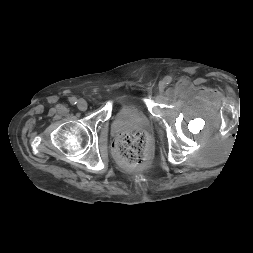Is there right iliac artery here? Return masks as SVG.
<instances>
[{"instance_id": "1", "label": "right iliac artery", "mask_w": 253, "mask_h": 253, "mask_svg": "<svg viewBox=\"0 0 253 253\" xmlns=\"http://www.w3.org/2000/svg\"><path fill=\"white\" fill-rule=\"evenodd\" d=\"M69 101L71 104L75 105V104H77L78 100L75 97H71Z\"/></svg>"}]
</instances>
